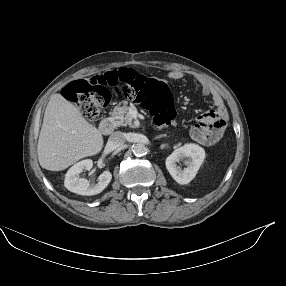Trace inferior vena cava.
Returning <instances> with one entry per match:
<instances>
[{
  "instance_id": "602c4592",
  "label": "inferior vena cava",
  "mask_w": 286,
  "mask_h": 286,
  "mask_svg": "<svg viewBox=\"0 0 286 286\" xmlns=\"http://www.w3.org/2000/svg\"><path fill=\"white\" fill-rule=\"evenodd\" d=\"M125 141V134L121 131L114 132L109 138V142L114 147L123 146L125 144Z\"/></svg>"
}]
</instances>
